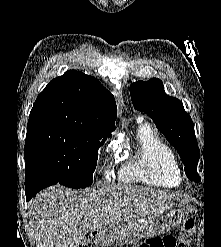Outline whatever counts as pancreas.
I'll list each match as a JSON object with an SVG mask.
<instances>
[{"label": "pancreas", "instance_id": "pancreas-1", "mask_svg": "<svg viewBox=\"0 0 221 247\" xmlns=\"http://www.w3.org/2000/svg\"><path fill=\"white\" fill-rule=\"evenodd\" d=\"M129 224H131L130 227H128ZM136 227L140 228V229L142 228V226L139 225V224H135V223H132V222L128 223L124 228H121L122 229V235H126L132 228H136ZM121 229H119L118 231H120Z\"/></svg>", "mask_w": 221, "mask_h": 247}]
</instances>
